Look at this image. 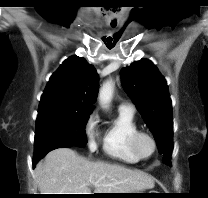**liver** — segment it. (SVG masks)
Segmentation results:
<instances>
[{"instance_id": "6515ba94", "label": "liver", "mask_w": 208, "mask_h": 198, "mask_svg": "<svg viewBox=\"0 0 208 198\" xmlns=\"http://www.w3.org/2000/svg\"><path fill=\"white\" fill-rule=\"evenodd\" d=\"M41 194L130 193L151 189L153 180L141 171L92 162L68 148L51 151L35 168Z\"/></svg>"}]
</instances>
